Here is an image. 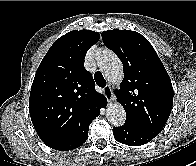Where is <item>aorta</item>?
Here are the masks:
<instances>
[{
	"label": "aorta",
	"instance_id": "aorta-1",
	"mask_svg": "<svg viewBox=\"0 0 196 166\" xmlns=\"http://www.w3.org/2000/svg\"><path fill=\"white\" fill-rule=\"evenodd\" d=\"M97 64L107 80L118 85L123 80V65L118 56L109 49L102 50L97 56ZM108 121L113 126H122L126 120V112L119 102H111L106 111Z\"/></svg>",
	"mask_w": 196,
	"mask_h": 166
}]
</instances>
